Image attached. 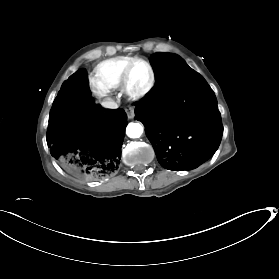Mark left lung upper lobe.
Returning <instances> with one entry per match:
<instances>
[{
    "label": "left lung upper lobe",
    "mask_w": 279,
    "mask_h": 279,
    "mask_svg": "<svg viewBox=\"0 0 279 279\" xmlns=\"http://www.w3.org/2000/svg\"><path fill=\"white\" fill-rule=\"evenodd\" d=\"M155 72L156 83L144 97L147 101L165 97L175 91L183 81L196 72L178 55L156 53L150 58Z\"/></svg>",
    "instance_id": "1"
}]
</instances>
